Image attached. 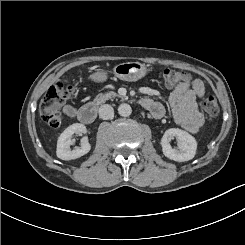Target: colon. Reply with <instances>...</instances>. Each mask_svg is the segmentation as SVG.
Listing matches in <instances>:
<instances>
[{
	"label": "colon",
	"mask_w": 245,
	"mask_h": 245,
	"mask_svg": "<svg viewBox=\"0 0 245 245\" xmlns=\"http://www.w3.org/2000/svg\"><path fill=\"white\" fill-rule=\"evenodd\" d=\"M163 81L168 88H172L184 81L187 74L174 69L166 68L162 73ZM74 78H68L51 86L43 95L39 104L41 119L50 127L57 128L62 123L60 108L75 90ZM202 109L209 118H214L219 110L214 95L207 96L202 101Z\"/></svg>",
	"instance_id": "1"
}]
</instances>
